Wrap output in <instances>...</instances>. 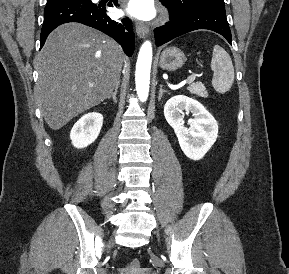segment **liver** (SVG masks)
Returning <instances> with one entry per match:
<instances>
[{
	"label": "liver",
	"mask_w": 289,
	"mask_h": 274,
	"mask_svg": "<svg viewBox=\"0 0 289 274\" xmlns=\"http://www.w3.org/2000/svg\"><path fill=\"white\" fill-rule=\"evenodd\" d=\"M123 52L111 38L78 23L47 38L36 66L35 99L52 130L108 98L119 82Z\"/></svg>",
	"instance_id": "liver-1"
}]
</instances>
